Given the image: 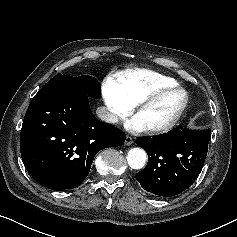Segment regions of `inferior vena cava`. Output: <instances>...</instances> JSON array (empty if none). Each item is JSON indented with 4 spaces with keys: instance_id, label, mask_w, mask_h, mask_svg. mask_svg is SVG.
Wrapping results in <instances>:
<instances>
[{
    "instance_id": "602c4592",
    "label": "inferior vena cava",
    "mask_w": 237,
    "mask_h": 237,
    "mask_svg": "<svg viewBox=\"0 0 237 237\" xmlns=\"http://www.w3.org/2000/svg\"><path fill=\"white\" fill-rule=\"evenodd\" d=\"M96 114L101 120L107 123H117L119 120L116 114L112 113L111 111H109L108 108L104 106L98 107L96 110Z\"/></svg>"
}]
</instances>
